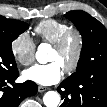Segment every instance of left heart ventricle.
Returning <instances> with one entry per match:
<instances>
[{
	"label": "left heart ventricle",
	"instance_id": "left-heart-ventricle-1",
	"mask_svg": "<svg viewBox=\"0 0 107 107\" xmlns=\"http://www.w3.org/2000/svg\"><path fill=\"white\" fill-rule=\"evenodd\" d=\"M75 46V40L71 39L62 51H57L53 48L49 56V61H57L62 67L68 65L73 59Z\"/></svg>",
	"mask_w": 107,
	"mask_h": 107
}]
</instances>
